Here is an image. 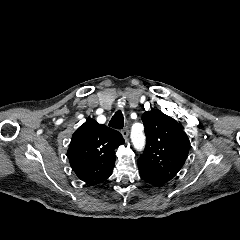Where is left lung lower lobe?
I'll return each instance as SVG.
<instances>
[{"label":"left lung lower lobe","instance_id":"1","mask_svg":"<svg viewBox=\"0 0 240 240\" xmlns=\"http://www.w3.org/2000/svg\"><path fill=\"white\" fill-rule=\"evenodd\" d=\"M138 167H139L141 178L145 180L147 183L151 184L152 186L160 187L166 184L168 181H170L164 177H161L155 174L154 172L149 170L147 167H144L141 165L140 166L138 165Z\"/></svg>","mask_w":240,"mask_h":240}]
</instances>
